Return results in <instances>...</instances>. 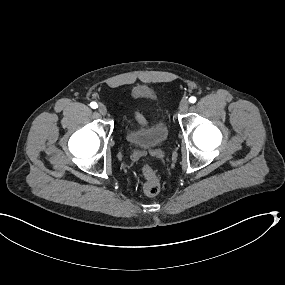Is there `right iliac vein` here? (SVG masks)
Returning a JSON list of instances; mask_svg holds the SVG:
<instances>
[{
	"label": "right iliac vein",
	"instance_id": "right-iliac-vein-1",
	"mask_svg": "<svg viewBox=\"0 0 285 285\" xmlns=\"http://www.w3.org/2000/svg\"><path fill=\"white\" fill-rule=\"evenodd\" d=\"M98 111H99V113H100L101 115H106V114H107V108H106V106H104V105H100V106L98 107Z\"/></svg>",
	"mask_w": 285,
	"mask_h": 285
}]
</instances>
